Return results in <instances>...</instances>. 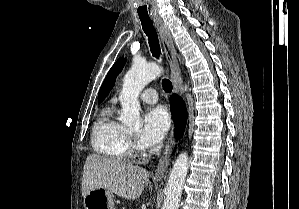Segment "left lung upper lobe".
Returning a JSON list of instances; mask_svg holds the SVG:
<instances>
[{"mask_svg": "<svg viewBox=\"0 0 299 209\" xmlns=\"http://www.w3.org/2000/svg\"><path fill=\"white\" fill-rule=\"evenodd\" d=\"M125 63V59L119 58L116 63L112 66L110 71L108 72L98 94V101L101 102L112 89L116 76L122 70Z\"/></svg>", "mask_w": 299, "mask_h": 209, "instance_id": "1", "label": "left lung upper lobe"}]
</instances>
